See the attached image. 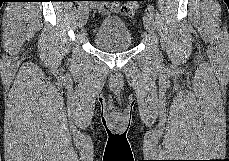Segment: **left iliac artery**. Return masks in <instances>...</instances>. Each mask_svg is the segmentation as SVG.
<instances>
[{
  "mask_svg": "<svg viewBox=\"0 0 229 161\" xmlns=\"http://www.w3.org/2000/svg\"><path fill=\"white\" fill-rule=\"evenodd\" d=\"M147 9L151 13V15L153 16L154 15V7L151 4H149Z\"/></svg>",
  "mask_w": 229,
  "mask_h": 161,
  "instance_id": "left-iliac-artery-1",
  "label": "left iliac artery"
}]
</instances>
